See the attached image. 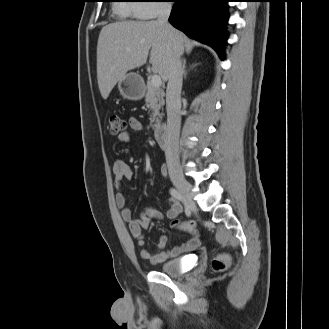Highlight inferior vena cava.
<instances>
[{"label": "inferior vena cava", "mask_w": 329, "mask_h": 329, "mask_svg": "<svg viewBox=\"0 0 329 329\" xmlns=\"http://www.w3.org/2000/svg\"><path fill=\"white\" fill-rule=\"evenodd\" d=\"M171 12V4L162 3L159 7L157 23L162 26L175 45L173 38V27L169 24L168 18ZM182 63L180 53L174 46V53L170 65V74L166 89V110H167V130H166V162L171 179L180 176V163L178 155V140L181 127V88H182Z\"/></svg>", "instance_id": "1"}]
</instances>
